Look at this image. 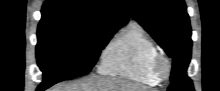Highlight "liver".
<instances>
[{
    "label": "liver",
    "instance_id": "liver-1",
    "mask_svg": "<svg viewBox=\"0 0 220 91\" xmlns=\"http://www.w3.org/2000/svg\"><path fill=\"white\" fill-rule=\"evenodd\" d=\"M49 91H149L147 87L119 78L92 76L80 82L61 84Z\"/></svg>",
    "mask_w": 220,
    "mask_h": 91
}]
</instances>
